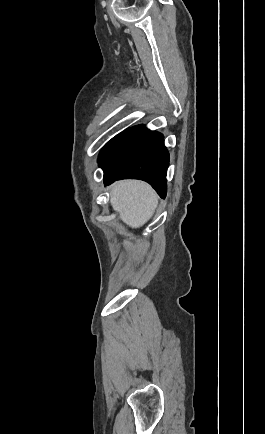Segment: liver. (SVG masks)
Returning <instances> with one entry per match:
<instances>
[{"label": "liver", "instance_id": "1", "mask_svg": "<svg viewBox=\"0 0 265 434\" xmlns=\"http://www.w3.org/2000/svg\"><path fill=\"white\" fill-rule=\"evenodd\" d=\"M110 204L124 224L141 228L152 218L158 206V196L145 182L122 180L113 184Z\"/></svg>", "mask_w": 265, "mask_h": 434}]
</instances>
